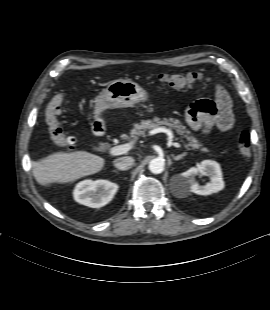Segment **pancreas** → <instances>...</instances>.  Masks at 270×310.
<instances>
[{"mask_svg": "<svg viewBox=\"0 0 270 310\" xmlns=\"http://www.w3.org/2000/svg\"><path fill=\"white\" fill-rule=\"evenodd\" d=\"M159 127L167 128L171 131H175L182 138L187 140L184 144L185 148L188 150H200L203 153H208L209 149L203 147V143L191 135V132L186 129V126L182 125L178 119H163L158 117L153 118V120H142L140 123H135L133 129L131 130V136L143 135L145 131L156 129Z\"/></svg>", "mask_w": 270, "mask_h": 310, "instance_id": "1", "label": "pancreas"}]
</instances>
